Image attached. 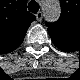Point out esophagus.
Returning a JSON list of instances; mask_svg holds the SVG:
<instances>
[{"mask_svg": "<svg viewBox=\"0 0 80 80\" xmlns=\"http://www.w3.org/2000/svg\"><path fill=\"white\" fill-rule=\"evenodd\" d=\"M42 17H43V13L41 11L36 14V19L38 21H41L42 20Z\"/></svg>", "mask_w": 80, "mask_h": 80, "instance_id": "34e87169", "label": "esophagus"}]
</instances>
